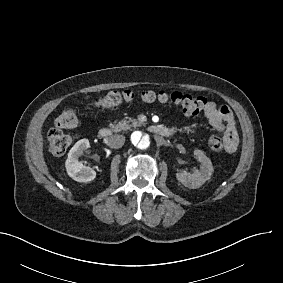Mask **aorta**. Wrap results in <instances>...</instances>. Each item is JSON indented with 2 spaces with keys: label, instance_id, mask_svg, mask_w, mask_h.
<instances>
[{
  "label": "aorta",
  "instance_id": "obj_1",
  "mask_svg": "<svg viewBox=\"0 0 283 283\" xmlns=\"http://www.w3.org/2000/svg\"><path fill=\"white\" fill-rule=\"evenodd\" d=\"M130 141L132 145L139 150H145L151 144L150 136L142 131H134L131 134Z\"/></svg>",
  "mask_w": 283,
  "mask_h": 283
}]
</instances>
